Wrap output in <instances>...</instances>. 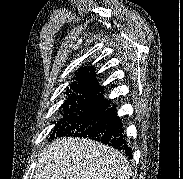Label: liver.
<instances>
[{
    "mask_svg": "<svg viewBox=\"0 0 183 179\" xmlns=\"http://www.w3.org/2000/svg\"><path fill=\"white\" fill-rule=\"evenodd\" d=\"M129 172L118 150L86 138L63 137L42 150L33 179H127Z\"/></svg>",
    "mask_w": 183,
    "mask_h": 179,
    "instance_id": "liver-1",
    "label": "liver"
}]
</instances>
